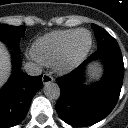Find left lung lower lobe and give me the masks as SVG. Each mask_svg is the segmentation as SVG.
Wrapping results in <instances>:
<instances>
[{
    "label": "left lung lower lobe",
    "instance_id": "left-lung-lower-lobe-1",
    "mask_svg": "<svg viewBox=\"0 0 128 128\" xmlns=\"http://www.w3.org/2000/svg\"><path fill=\"white\" fill-rule=\"evenodd\" d=\"M96 59L105 62L104 78L90 89L82 85L86 64ZM124 75L118 44L99 48L79 68L57 79L61 96L56 104L59 116L69 125L86 127L104 119L115 107Z\"/></svg>",
    "mask_w": 128,
    "mask_h": 128
}]
</instances>
